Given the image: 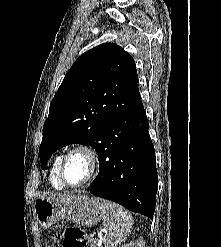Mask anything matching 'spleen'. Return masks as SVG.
<instances>
[{"instance_id":"1","label":"spleen","mask_w":221,"mask_h":247,"mask_svg":"<svg viewBox=\"0 0 221 247\" xmlns=\"http://www.w3.org/2000/svg\"><path fill=\"white\" fill-rule=\"evenodd\" d=\"M102 214L103 226L107 229L103 244L105 247H117L129 236L133 218L122 206L107 201L102 204Z\"/></svg>"}]
</instances>
